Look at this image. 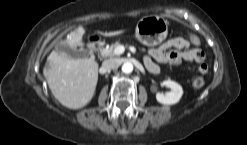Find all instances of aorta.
Wrapping results in <instances>:
<instances>
[{"label":"aorta","mask_w":247,"mask_h":145,"mask_svg":"<svg viewBox=\"0 0 247 145\" xmlns=\"http://www.w3.org/2000/svg\"><path fill=\"white\" fill-rule=\"evenodd\" d=\"M133 71V64L130 63V62H125L123 65H122V72L124 73H131Z\"/></svg>","instance_id":"aorta-1"}]
</instances>
